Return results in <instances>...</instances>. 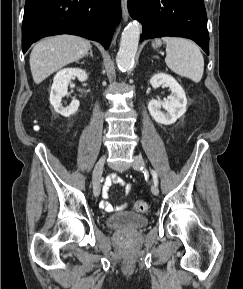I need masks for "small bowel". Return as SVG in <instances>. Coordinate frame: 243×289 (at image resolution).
<instances>
[{"label":"small bowel","mask_w":243,"mask_h":289,"mask_svg":"<svg viewBox=\"0 0 243 289\" xmlns=\"http://www.w3.org/2000/svg\"><path fill=\"white\" fill-rule=\"evenodd\" d=\"M112 184H119L124 189V194L127 196L131 190V184L124 182L121 177L117 174L110 175L103 186V200L100 202V208L105 210L106 212H115V211H122L127 207V203L123 202L118 206L111 205L108 199V191Z\"/></svg>","instance_id":"c3829d8e"}]
</instances>
